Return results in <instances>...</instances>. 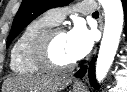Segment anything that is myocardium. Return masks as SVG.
I'll return each mask as SVG.
<instances>
[{
    "mask_svg": "<svg viewBox=\"0 0 127 92\" xmlns=\"http://www.w3.org/2000/svg\"><path fill=\"white\" fill-rule=\"evenodd\" d=\"M61 26H52L43 30L35 39L32 47V55L35 62L44 70L50 72H67L76 66V61L60 64L52 54V45L56 35L65 33Z\"/></svg>",
    "mask_w": 127,
    "mask_h": 92,
    "instance_id": "obj_1",
    "label": "myocardium"
}]
</instances>
